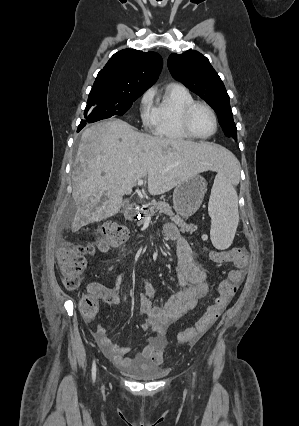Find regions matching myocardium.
Here are the masks:
<instances>
[{"label":"myocardium","instance_id":"1","mask_svg":"<svg viewBox=\"0 0 299 426\" xmlns=\"http://www.w3.org/2000/svg\"><path fill=\"white\" fill-rule=\"evenodd\" d=\"M197 107H204L205 109H207L209 111V113L211 114L212 118H213L214 130L209 135H206V136L198 135L192 129L191 116H192L194 110ZM181 124H182L184 131L191 138L201 139V140H205V139H209V138L213 137L217 133L218 128H219L218 118H217V115H216L214 109L208 103L203 102V101H193L184 108V110L182 112V116H181Z\"/></svg>","mask_w":299,"mask_h":426}]
</instances>
